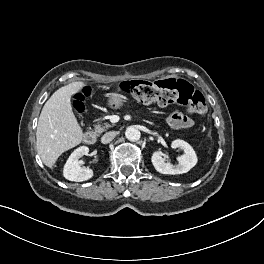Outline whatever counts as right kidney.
I'll list each match as a JSON object with an SVG mask.
<instances>
[{"label":"right kidney","mask_w":264,"mask_h":264,"mask_svg":"<svg viewBox=\"0 0 264 264\" xmlns=\"http://www.w3.org/2000/svg\"><path fill=\"white\" fill-rule=\"evenodd\" d=\"M89 148L86 146H80L69 156L63 169V176L76 182L86 181L93 177V170L90 168H84L80 166L79 158L84 155H88Z\"/></svg>","instance_id":"right-kidney-1"}]
</instances>
